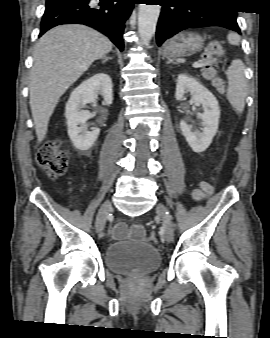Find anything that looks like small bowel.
<instances>
[{
    "mask_svg": "<svg viewBox=\"0 0 270 338\" xmlns=\"http://www.w3.org/2000/svg\"><path fill=\"white\" fill-rule=\"evenodd\" d=\"M122 234H124V230L120 226H117L113 231V236H119ZM131 236L133 239L142 240L143 239L142 228L140 226L133 227Z\"/></svg>",
    "mask_w": 270,
    "mask_h": 338,
    "instance_id": "small-bowel-1",
    "label": "small bowel"
}]
</instances>
